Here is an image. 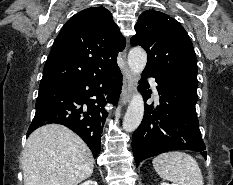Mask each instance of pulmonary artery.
Masks as SVG:
<instances>
[{"mask_svg":"<svg viewBox=\"0 0 233 185\" xmlns=\"http://www.w3.org/2000/svg\"><path fill=\"white\" fill-rule=\"evenodd\" d=\"M149 82H150V84H151V86L153 88V92H154L156 98H158V92H157V89H156V81H155V79L154 78H150Z\"/></svg>","mask_w":233,"mask_h":185,"instance_id":"obj_1","label":"pulmonary artery"}]
</instances>
